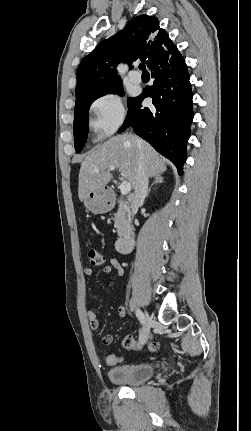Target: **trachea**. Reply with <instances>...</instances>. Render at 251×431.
<instances>
[{
	"mask_svg": "<svg viewBox=\"0 0 251 431\" xmlns=\"http://www.w3.org/2000/svg\"><path fill=\"white\" fill-rule=\"evenodd\" d=\"M139 69H140L143 73H147V70H146V66H145V64L141 63V64L139 65Z\"/></svg>",
	"mask_w": 251,
	"mask_h": 431,
	"instance_id": "1",
	"label": "trachea"
}]
</instances>
